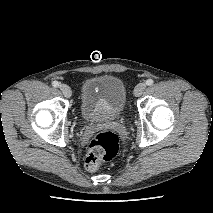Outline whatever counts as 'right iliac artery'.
I'll return each instance as SVG.
<instances>
[{"label":"right iliac artery","mask_w":213,"mask_h":213,"mask_svg":"<svg viewBox=\"0 0 213 213\" xmlns=\"http://www.w3.org/2000/svg\"><path fill=\"white\" fill-rule=\"evenodd\" d=\"M52 86L53 87H59L60 86V83L58 81H53L52 82Z\"/></svg>","instance_id":"82829eb1"}]
</instances>
